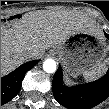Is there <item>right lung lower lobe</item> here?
Returning <instances> with one entry per match:
<instances>
[{
	"instance_id": "98d812e1",
	"label": "right lung lower lobe",
	"mask_w": 109,
	"mask_h": 109,
	"mask_svg": "<svg viewBox=\"0 0 109 109\" xmlns=\"http://www.w3.org/2000/svg\"><path fill=\"white\" fill-rule=\"evenodd\" d=\"M38 62L39 60H33L24 63L10 74L1 78V105L9 102L17 95L26 72Z\"/></svg>"
}]
</instances>
